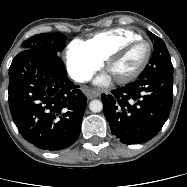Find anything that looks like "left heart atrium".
Here are the masks:
<instances>
[{
    "label": "left heart atrium",
    "mask_w": 187,
    "mask_h": 187,
    "mask_svg": "<svg viewBox=\"0 0 187 187\" xmlns=\"http://www.w3.org/2000/svg\"><path fill=\"white\" fill-rule=\"evenodd\" d=\"M110 75L105 74L103 76H100L99 78H97L96 82L100 85H105L110 81Z\"/></svg>",
    "instance_id": "left-heart-atrium-1"
}]
</instances>
